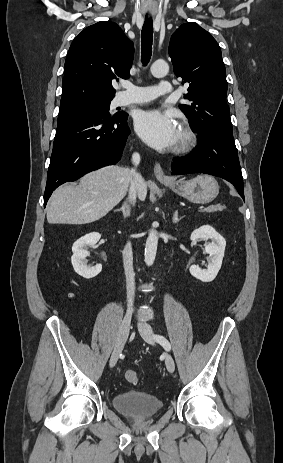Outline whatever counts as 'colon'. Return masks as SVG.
Masks as SVG:
<instances>
[{
	"label": "colon",
	"instance_id": "1",
	"mask_svg": "<svg viewBox=\"0 0 283 463\" xmlns=\"http://www.w3.org/2000/svg\"><path fill=\"white\" fill-rule=\"evenodd\" d=\"M125 379L131 384H136L139 381V375L136 371L128 370L125 372Z\"/></svg>",
	"mask_w": 283,
	"mask_h": 463
}]
</instances>
